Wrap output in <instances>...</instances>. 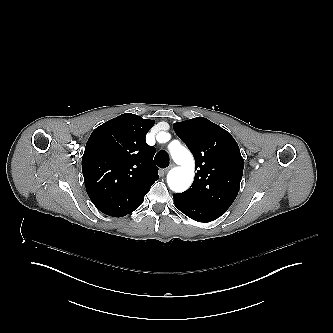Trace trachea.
<instances>
[{"instance_id": "trachea-1", "label": "trachea", "mask_w": 333, "mask_h": 333, "mask_svg": "<svg viewBox=\"0 0 333 333\" xmlns=\"http://www.w3.org/2000/svg\"><path fill=\"white\" fill-rule=\"evenodd\" d=\"M154 161L159 167L165 168L169 165V155L166 151H159L156 154Z\"/></svg>"}]
</instances>
